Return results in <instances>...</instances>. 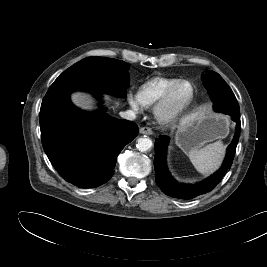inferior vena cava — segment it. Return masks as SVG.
<instances>
[{
  "mask_svg": "<svg viewBox=\"0 0 267 267\" xmlns=\"http://www.w3.org/2000/svg\"><path fill=\"white\" fill-rule=\"evenodd\" d=\"M120 116L123 118V119H127V120H134L136 118V114L134 111L132 110H126L124 112H120Z\"/></svg>",
  "mask_w": 267,
  "mask_h": 267,
  "instance_id": "1",
  "label": "inferior vena cava"
}]
</instances>
